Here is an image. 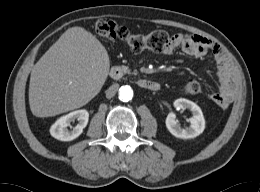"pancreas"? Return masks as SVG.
Here are the masks:
<instances>
[{
	"instance_id": "obj_1",
	"label": "pancreas",
	"mask_w": 260,
	"mask_h": 192,
	"mask_svg": "<svg viewBox=\"0 0 260 192\" xmlns=\"http://www.w3.org/2000/svg\"><path fill=\"white\" fill-rule=\"evenodd\" d=\"M122 69L124 70L125 73L130 74V69L128 66H122ZM138 72L137 71H133V74L136 75Z\"/></svg>"
}]
</instances>
